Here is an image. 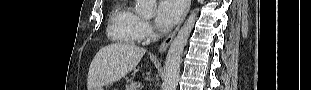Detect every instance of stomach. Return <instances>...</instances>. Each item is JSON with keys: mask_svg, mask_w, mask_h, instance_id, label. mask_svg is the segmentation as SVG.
<instances>
[{"mask_svg": "<svg viewBox=\"0 0 311 90\" xmlns=\"http://www.w3.org/2000/svg\"><path fill=\"white\" fill-rule=\"evenodd\" d=\"M99 90H104V88H100Z\"/></svg>", "mask_w": 311, "mask_h": 90, "instance_id": "stomach-1", "label": "stomach"}]
</instances>
